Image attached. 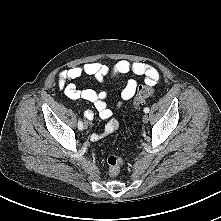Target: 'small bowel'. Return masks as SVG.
<instances>
[{
  "label": "small bowel",
  "instance_id": "c3829d8e",
  "mask_svg": "<svg viewBox=\"0 0 221 221\" xmlns=\"http://www.w3.org/2000/svg\"><path fill=\"white\" fill-rule=\"evenodd\" d=\"M126 73L143 76L148 85H155L160 78L158 70L151 65L145 62H130L127 60H120L112 67L100 61H92L80 66L67 68L58 74V88L62 90L67 97L93 103L100 118L107 121L103 132L92 134L91 139L93 141H99L106 135L116 131L118 121L113 118V110L109 108L106 102L105 92L93 89H79L72 81L83 75H91L94 76L98 82L104 83L109 78H114ZM136 89L137 81L134 79L128 80L121 91V100L118 102L117 108L121 107L123 102L130 100L134 96ZM84 117L88 121H91L94 118V112L92 110H86Z\"/></svg>",
  "mask_w": 221,
  "mask_h": 221
}]
</instances>
